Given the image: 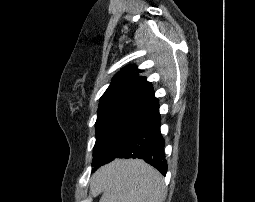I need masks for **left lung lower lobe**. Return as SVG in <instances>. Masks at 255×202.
I'll return each instance as SVG.
<instances>
[{"instance_id":"obj_1","label":"left lung lower lobe","mask_w":255,"mask_h":202,"mask_svg":"<svg viewBox=\"0 0 255 202\" xmlns=\"http://www.w3.org/2000/svg\"><path fill=\"white\" fill-rule=\"evenodd\" d=\"M115 158H140L166 175L167 162L164 154V139L160 133L159 107L131 135L120 153L113 158L96 162L93 171Z\"/></svg>"}]
</instances>
